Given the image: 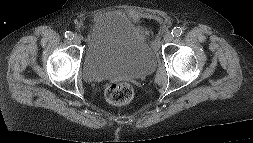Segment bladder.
<instances>
[{
    "instance_id": "31cf9c89",
    "label": "bladder",
    "mask_w": 253,
    "mask_h": 143,
    "mask_svg": "<svg viewBox=\"0 0 253 143\" xmlns=\"http://www.w3.org/2000/svg\"><path fill=\"white\" fill-rule=\"evenodd\" d=\"M156 56L148 39L120 11L98 16L88 31L83 73L96 82L115 77L143 78L154 72Z\"/></svg>"
}]
</instances>
